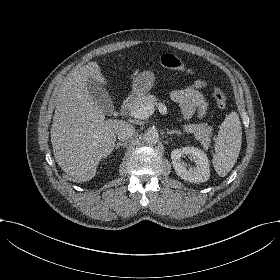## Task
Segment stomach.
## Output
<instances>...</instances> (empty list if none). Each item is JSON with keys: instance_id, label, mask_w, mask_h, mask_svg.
<instances>
[{"instance_id": "1", "label": "stomach", "mask_w": 280, "mask_h": 280, "mask_svg": "<svg viewBox=\"0 0 280 280\" xmlns=\"http://www.w3.org/2000/svg\"><path fill=\"white\" fill-rule=\"evenodd\" d=\"M155 75L152 71H143L139 73L132 82V93L130 98L135 100L145 95L154 85Z\"/></svg>"}]
</instances>
